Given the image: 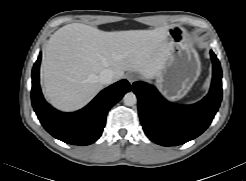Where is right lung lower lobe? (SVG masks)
Listing matches in <instances>:
<instances>
[{
    "label": "right lung lower lobe",
    "instance_id": "98d812e1",
    "mask_svg": "<svg viewBox=\"0 0 246 181\" xmlns=\"http://www.w3.org/2000/svg\"><path fill=\"white\" fill-rule=\"evenodd\" d=\"M40 53L32 69L31 100L43 127L55 138L73 145H89L102 134L109 109L130 91L127 80H121L102 90L86 107L73 113H63L51 107L43 98L39 83Z\"/></svg>",
    "mask_w": 246,
    "mask_h": 181
}]
</instances>
